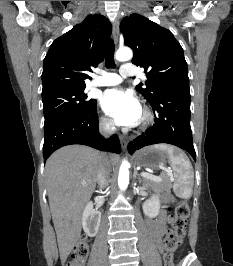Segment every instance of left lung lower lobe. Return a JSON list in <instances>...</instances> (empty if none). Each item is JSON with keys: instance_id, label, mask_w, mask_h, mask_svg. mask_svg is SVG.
I'll list each match as a JSON object with an SVG mask.
<instances>
[{"instance_id": "left-lung-lower-lobe-1", "label": "left lung lower lobe", "mask_w": 233, "mask_h": 266, "mask_svg": "<svg viewBox=\"0 0 233 266\" xmlns=\"http://www.w3.org/2000/svg\"><path fill=\"white\" fill-rule=\"evenodd\" d=\"M151 106L155 124L129 143V153L147 145L168 143L186 150L196 161L190 127V90L166 93Z\"/></svg>"}]
</instances>
